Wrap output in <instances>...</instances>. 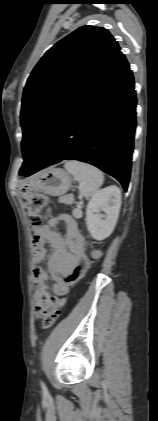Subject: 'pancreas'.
<instances>
[{
  "label": "pancreas",
  "instance_id": "1",
  "mask_svg": "<svg viewBox=\"0 0 158 421\" xmlns=\"http://www.w3.org/2000/svg\"><path fill=\"white\" fill-rule=\"evenodd\" d=\"M69 198H62L64 202H67ZM68 204H71L70 202Z\"/></svg>",
  "mask_w": 158,
  "mask_h": 421
}]
</instances>
